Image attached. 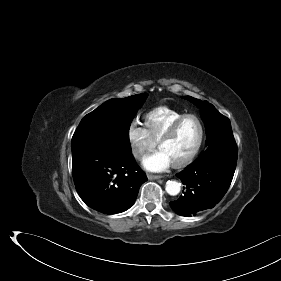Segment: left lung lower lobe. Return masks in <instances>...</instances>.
Returning a JSON list of instances; mask_svg holds the SVG:
<instances>
[{"label": "left lung lower lobe", "instance_id": "obj_1", "mask_svg": "<svg viewBox=\"0 0 281 281\" xmlns=\"http://www.w3.org/2000/svg\"><path fill=\"white\" fill-rule=\"evenodd\" d=\"M237 164V151H205L176 176L184 185L183 195L170 202L179 215L191 217L214 207L227 192Z\"/></svg>", "mask_w": 281, "mask_h": 281}]
</instances>
